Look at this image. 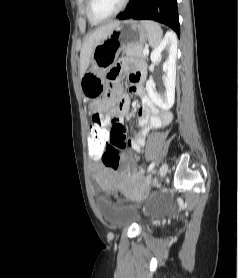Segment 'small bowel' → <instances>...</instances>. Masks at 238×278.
I'll return each instance as SVG.
<instances>
[{
  "mask_svg": "<svg viewBox=\"0 0 238 278\" xmlns=\"http://www.w3.org/2000/svg\"><path fill=\"white\" fill-rule=\"evenodd\" d=\"M126 60V55H119L117 59V64L113 67H108L106 71V80L112 81L113 93H105V98H116L118 99V105H109L107 108V113H117L118 117L125 116L129 112L130 108V98L125 93H122L119 80L116 76H121L123 72V67ZM146 76V66L143 63H138L135 68L129 74L130 81V91L136 94L141 99L142 105L138 111V116L132 127L134 136L133 138H123V143H128L130 149L134 152H139L143 148L146 142L147 134L155 128L166 125L171 120L170 112L157 108L147 95L143 82ZM92 124H100V129H90V130H102L110 124L102 113L98 110H94L92 116ZM117 125L119 127H111V132H106V137H126V132H128V127H124L121 122L117 120ZM94 135H90L93 137ZM127 145V144H126ZM106 167V166H105ZM108 171H104L100 177L101 183L105 187L112 189H121L125 184L132 182L136 179V175H130L126 180H117L114 175L110 172L112 168H108Z\"/></svg>",
  "mask_w": 238,
  "mask_h": 278,
  "instance_id": "small-bowel-1",
  "label": "small bowel"
}]
</instances>
